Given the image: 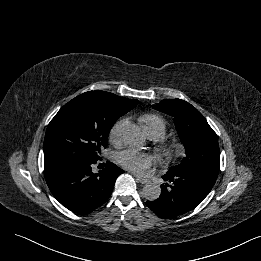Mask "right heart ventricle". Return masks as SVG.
I'll list each match as a JSON object with an SVG mask.
<instances>
[{"label": "right heart ventricle", "mask_w": 261, "mask_h": 261, "mask_svg": "<svg viewBox=\"0 0 261 261\" xmlns=\"http://www.w3.org/2000/svg\"><path fill=\"white\" fill-rule=\"evenodd\" d=\"M139 122L145 134L151 139H159L166 132L165 121L156 114H143L139 117Z\"/></svg>", "instance_id": "obj_1"}]
</instances>
